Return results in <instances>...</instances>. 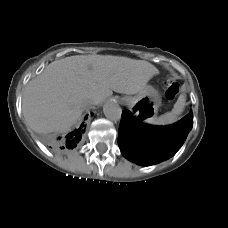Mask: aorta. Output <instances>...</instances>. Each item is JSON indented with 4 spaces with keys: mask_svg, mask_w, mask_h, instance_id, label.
I'll return each instance as SVG.
<instances>
[{
    "mask_svg": "<svg viewBox=\"0 0 228 228\" xmlns=\"http://www.w3.org/2000/svg\"><path fill=\"white\" fill-rule=\"evenodd\" d=\"M103 112L106 118L117 121L121 119L122 109L115 101H109L104 104Z\"/></svg>",
    "mask_w": 228,
    "mask_h": 228,
    "instance_id": "1",
    "label": "aorta"
}]
</instances>
